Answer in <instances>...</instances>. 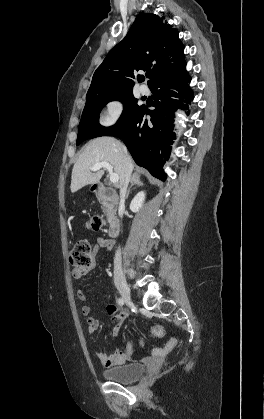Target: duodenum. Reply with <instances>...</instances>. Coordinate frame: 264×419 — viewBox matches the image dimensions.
<instances>
[{
  "mask_svg": "<svg viewBox=\"0 0 264 419\" xmlns=\"http://www.w3.org/2000/svg\"><path fill=\"white\" fill-rule=\"evenodd\" d=\"M95 194L100 201L106 202L110 205H114L118 202V195L114 192L108 191L101 184L95 186ZM120 231V220L112 214L109 219L108 235L110 237H116Z\"/></svg>",
  "mask_w": 264,
  "mask_h": 419,
  "instance_id": "410a0bca",
  "label": "duodenum"
}]
</instances>
